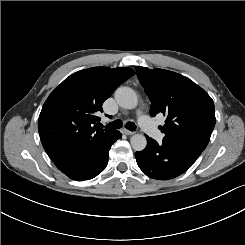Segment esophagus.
<instances>
[{
    "instance_id": "esophagus-1",
    "label": "esophagus",
    "mask_w": 245,
    "mask_h": 245,
    "mask_svg": "<svg viewBox=\"0 0 245 245\" xmlns=\"http://www.w3.org/2000/svg\"><path fill=\"white\" fill-rule=\"evenodd\" d=\"M122 132L126 135H133L134 132L130 131V130H127V129H122Z\"/></svg>"
}]
</instances>
